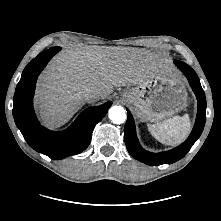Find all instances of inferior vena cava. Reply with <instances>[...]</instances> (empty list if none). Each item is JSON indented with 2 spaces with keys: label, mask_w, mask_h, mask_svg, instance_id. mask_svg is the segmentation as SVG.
Listing matches in <instances>:
<instances>
[{
  "label": "inferior vena cava",
  "mask_w": 221,
  "mask_h": 221,
  "mask_svg": "<svg viewBox=\"0 0 221 221\" xmlns=\"http://www.w3.org/2000/svg\"><path fill=\"white\" fill-rule=\"evenodd\" d=\"M82 96L86 102L92 103L99 99V92L95 89H87L83 92Z\"/></svg>",
  "instance_id": "obj_1"
}]
</instances>
